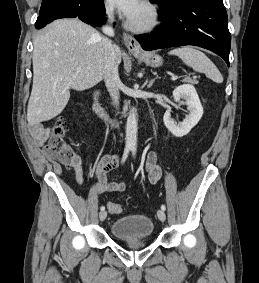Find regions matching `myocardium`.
I'll list each match as a JSON object with an SVG mask.
<instances>
[{"label":"myocardium","mask_w":259,"mask_h":283,"mask_svg":"<svg viewBox=\"0 0 259 283\" xmlns=\"http://www.w3.org/2000/svg\"><path fill=\"white\" fill-rule=\"evenodd\" d=\"M142 5L146 8L148 13V19L146 22L142 24H135L128 19L126 21V27L132 32L135 33H146L155 29L160 23V13L155 4H153L150 0H144Z\"/></svg>","instance_id":"f54148a6"}]
</instances>
